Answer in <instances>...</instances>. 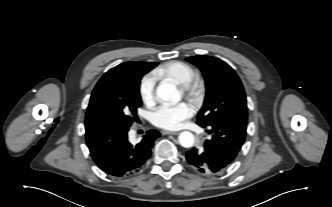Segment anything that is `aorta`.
<instances>
[{"label": "aorta", "instance_id": "aorta-1", "mask_svg": "<svg viewBox=\"0 0 332 207\" xmlns=\"http://www.w3.org/2000/svg\"><path fill=\"white\" fill-rule=\"evenodd\" d=\"M157 97L161 101L177 103L181 100V93L174 84L162 82L156 90ZM179 144L185 148L194 145V135L189 131H183L178 137Z\"/></svg>", "mask_w": 332, "mask_h": 207}]
</instances>
